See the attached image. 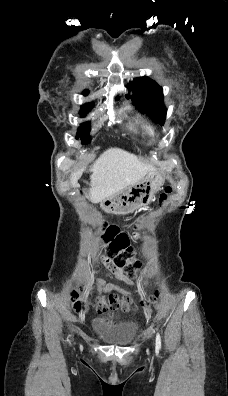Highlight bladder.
Segmentation results:
<instances>
[{
	"mask_svg": "<svg viewBox=\"0 0 228 396\" xmlns=\"http://www.w3.org/2000/svg\"><path fill=\"white\" fill-rule=\"evenodd\" d=\"M91 326L93 333L101 341L117 346L132 344L138 337L140 328L137 321L113 314L94 318Z\"/></svg>",
	"mask_w": 228,
	"mask_h": 396,
	"instance_id": "31cf9c89",
	"label": "bladder"
}]
</instances>
